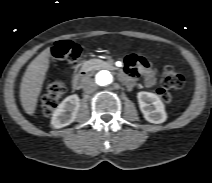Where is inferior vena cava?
<instances>
[{"label":"inferior vena cava","mask_w":212,"mask_h":183,"mask_svg":"<svg viewBox=\"0 0 212 183\" xmlns=\"http://www.w3.org/2000/svg\"><path fill=\"white\" fill-rule=\"evenodd\" d=\"M83 89L86 93H92L97 89V84L93 80H88Z\"/></svg>","instance_id":"obj_1"}]
</instances>
